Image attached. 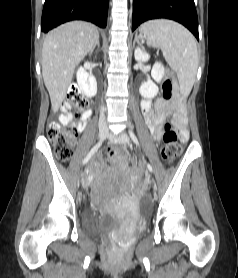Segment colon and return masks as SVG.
Masks as SVG:
<instances>
[{
    "mask_svg": "<svg viewBox=\"0 0 238 278\" xmlns=\"http://www.w3.org/2000/svg\"><path fill=\"white\" fill-rule=\"evenodd\" d=\"M163 98L170 101L174 92V74L168 72L166 79L162 83ZM89 104L78 87H72L66 96L62 109L66 114H73L75 117H82L88 110ZM48 138L54 147V152L58 160L67 161L72 155L73 145L77 138V128L75 124L61 126L57 123L50 125ZM181 153V145L176 132L169 123L164 125L163 144L161 149L162 158L166 162H171ZM110 160L118 165L125 166L128 163L126 157L121 156L116 150L109 151Z\"/></svg>",
    "mask_w": 238,
    "mask_h": 278,
    "instance_id": "obj_1",
    "label": "colon"
}]
</instances>
